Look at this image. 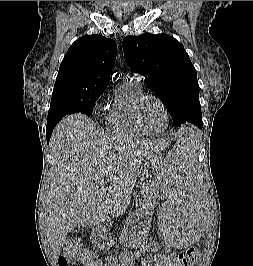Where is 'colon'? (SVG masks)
I'll use <instances>...</instances> for the list:
<instances>
[{
    "label": "colon",
    "mask_w": 253,
    "mask_h": 266,
    "mask_svg": "<svg viewBox=\"0 0 253 266\" xmlns=\"http://www.w3.org/2000/svg\"><path fill=\"white\" fill-rule=\"evenodd\" d=\"M199 256V250L191 248L184 253L169 257L150 258L146 266H193ZM59 266H100L96 255L86 249L77 238L71 239L65 245L58 260Z\"/></svg>",
    "instance_id": "1"
}]
</instances>
